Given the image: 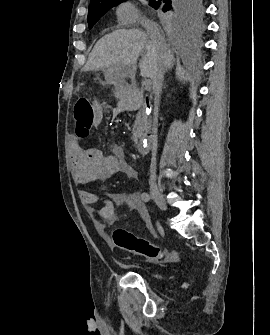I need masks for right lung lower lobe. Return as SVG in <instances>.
Here are the masks:
<instances>
[{"mask_svg": "<svg viewBox=\"0 0 270 335\" xmlns=\"http://www.w3.org/2000/svg\"><path fill=\"white\" fill-rule=\"evenodd\" d=\"M164 1V0H163ZM169 1L168 0H166L165 1V5L168 3ZM174 2V0H172V3ZM161 7V9H162V6H160Z\"/></svg>", "mask_w": 270, "mask_h": 335, "instance_id": "1", "label": "right lung lower lobe"}]
</instances>
